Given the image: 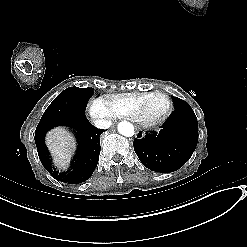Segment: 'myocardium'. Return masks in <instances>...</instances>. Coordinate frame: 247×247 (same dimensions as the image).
I'll return each instance as SVG.
<instances>
[{
  "label": "myocardium",
  "mask_w": 247,
  "mask_h": 247,
  "mask_svg": "<svg viewBox=\"0 0 247 247\" xmlns=\"http://www.w3.org/2000/svg\"><path fill=\"white\" fill-rule=\"evenodd\" d=\"M156 98H162L163 103L158 109L153 110L151 104ZM170 108L171 99L169 96L163 92L155 91L149 93L145 102L139 107L138 112L144 127H151L161 123L169 115Z\"/></svg>",
  "instance_id": "1"
}]
</instances>
